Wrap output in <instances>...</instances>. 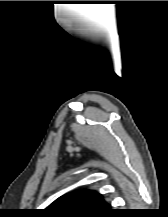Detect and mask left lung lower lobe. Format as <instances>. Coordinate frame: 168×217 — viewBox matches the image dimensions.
<instances>
[{
	"label": "left lung lower lobe",
	"mask_w": 168,
	"mask_h": 217,
	"mask_svg": "<svg viewBox=\"0 0 168 217\" xmlns=\"http://www.w3.org/2000/svg\"><path fill=\"white\" fill-rule=\"evenodd\" d=\"M114 213H115V212H111V211H110V212H107L106 215H107V216H108V215H109V216H112Z\"/></svg>",
	"instance_id": "left-lung-lower-lobe-1"
}]
</instances>
